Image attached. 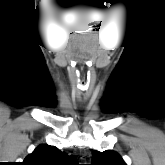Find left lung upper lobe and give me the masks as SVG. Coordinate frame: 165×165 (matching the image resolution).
Listing matches in <instances>:
<instances>
[{
    "label": "left lung upper lobe",
    "mask_w": 165,
    "mask_h": 165,
    "mask_svg": "<svg viewBox=\"0 0 165 165\" xmlns=\"http://www.w3.org/2000/svg\"><path fill=\"white\" fill-rule=\"evenodd\" d=\"M92 155L91 165H126L123 159L114 151L99 152L92 150Z\"/></svg>",
    "instance_id": "left-lung-upper-lobe-1"
}]
</instances>
